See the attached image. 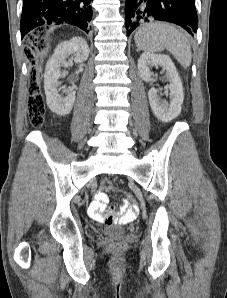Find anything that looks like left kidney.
I'll return each instance as SVG.
<instances>
[{
  "label": "left kidney",
  "mask_w": 227,
  "mask_h": 298,
  "mask_svg": "<svg viewBox=\"0 0 227 298\" xmlns=\"http://www.w3.org/2000/svg\"><path fill=\"white\" fill-rule=\"evenodd\" d=\"M158 65L166 70V75L170 82L166 88V90L170 91V102L160 100L159 92L155 88L149 90L148 98L151 109L157 118L164 122H169L180 114L184 100L183 86L177 69L170 57L163 54L144 52L138 60V70L145 82L153 81L150 67Z\"/></svg>",
  "instance_id": "1"
}]
</instances>
